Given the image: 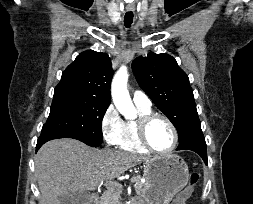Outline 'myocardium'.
Returning <instances> with one entry per match:
<instances>
[{"label":"myocardium","mask_w":253,"mask_h":204,"mask_svg":"<svg viewBox=\"0 0 253 204\" xmlns=\"http://www.w3.org/2000/svg\"><path fill=\"white\" fill-rule=\"evenodd\" d=\"M156 119L164 120L168 124V126L170 127V129L172 131L173 143L170 146V148L167 149V150H157V149H155L151 145V143L148 139V135H147L148 127ZM137 129H138V137H139V140H140L141 144L149 152H152V153H155V154H160V155H169L176 149V147L178 145V141H179L178 131H177L174 123L167 116H165L163 114L150 113V114L143 115V116L139 117V119L137 120Z\"/></svg>","instance_id":"1"}]
</instances>
